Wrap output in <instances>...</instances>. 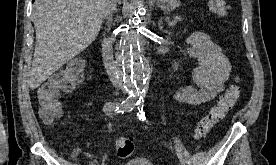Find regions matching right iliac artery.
I'll return each instance as SVG.
<instances>
[{
  "instance_id": "82829eb1",
  "label": "right iliac artery",
  "mask_w": 276,
  "mask_h": 165,
  "mask_svg": "<svg viewBox=\"0 0 276 165\" xmlns=\"http://www.w3.org/2000/svg\"><path fill=\"white\" fill-rule=\"evenodd\" d=\"M136 105H137V102L132 99L126 100L117 106L109 102L104 105L103 111L105 112L106 115H111L113 112L123 114V113L132 111Z\"/></svg>"
}]
</instances>
